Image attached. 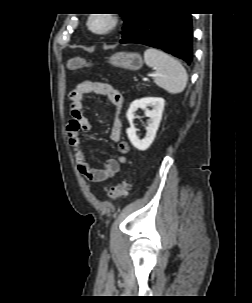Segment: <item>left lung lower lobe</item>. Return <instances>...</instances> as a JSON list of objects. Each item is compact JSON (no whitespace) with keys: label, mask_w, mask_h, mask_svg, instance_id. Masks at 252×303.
Listing matches in <instances>:
<instances>
[{"label":"left lung lower lobe","mask_w":252,"mask_h":303,"mask_svg":"<svg viewBox=\"0 0 252 303\" xmlns=\"http://www.w3.org/2000/svg\"><path fill=\"white\" fill-rule=\"evenodd\" d=\"M192 21L189 13L143 12L136 27L120 43L159 48L188 65L193 59Z\"/></svg>","instance_id":"1"}]
</instances>
